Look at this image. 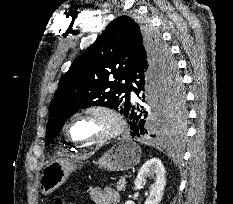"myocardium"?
<instances>
[{"mask_svg": "<svg viewBox=\"0 0 233 204\" xmlns=\"http://www.w3.org/2000/svg\"><path fill=\"white\" fill-rule=\"evenodd\" d=\"M91 114L102 115L106 117L111 122V125H112L109 132H107L103 136L97 139H94V140L82 141V140L73 139L69 133V127L71 123L79 117L91 115ZM124 129H125V120L123 116L121 115V113L118 112L116 109L110 106H107V105H90V106L84 107L74 112L67 119L64 125V128H63V132H64L65 137L72 143H75L81 146H95V145L105 144L115 139L116 137L121 135Z\"/></svg>", "mask_w": 233, "mask_h": 204, "instance_id": "1", "label": "myocardium"}]
</instances>
